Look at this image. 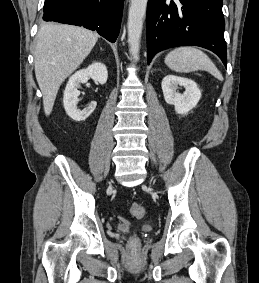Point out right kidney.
Masks as SVG:
<instances>
[{"mask_svg": "<svg viewBox=\"0 0 259 283\" xmlns=\"http://www.w3.org/2000/svg\"><path fill=\"white\" fill-rule=\"evenodd\" d=\"M89 78L101 85L105 84L108 78L107 68L103 63L95 62L86 69L77 71L69 78L63 97V104L67 115L74 121H83L95 110L97 103L92 101L86 108H77L80 92L78 87L81 83H86Z\"/></svg>", "mask_w": 259, "mask_h": 283, "instance_id": "right-kidney-1", "label": "right kidney"}]
</instances>
